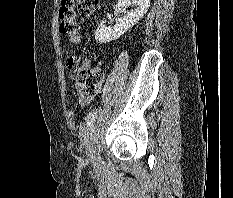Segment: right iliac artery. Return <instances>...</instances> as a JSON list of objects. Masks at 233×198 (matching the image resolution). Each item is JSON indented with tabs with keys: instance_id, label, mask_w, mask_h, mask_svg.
Returning a JSON list of instances; mask_svg holds the SVG:
<instances>
[{
	"instance_id": "obj_1",
	"label": "right iliac artery",
	"mask_w": 233,
	"mask_h": 198,
	"mask_svg": "<svg viewBox=\"0 0 233 198\" xmlns=\"http://www.w3.org/2000/svg\"><path fill=\"white\" fill-rule=\"evenodd\" d=\"M96 114H97V111H96V112H93V113L90 115V117H89V119H88V122H87L88 127L92 125V123H93V121H94V119H95V117H96Z\"/></svg>"
}]
</instances>
